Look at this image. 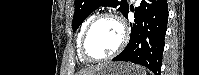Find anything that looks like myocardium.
<instances>
[{
	"label": "myocardium",
	"mask_w": 199,
	"mask_h": 75,
	"mask_svg": "<svg viewBox=\"0 0 199 75\" xmlns=\"http://www.w3.org/2000/svg\"><path fill=\"white\" fill-rule=\"evenodd\" d=\"M104 19H110L117 23V25L119 26V28L121 30V40H120L117 48L114 51H112L111 53H109L103 57H99V58L92 57L86 51V41H87L88 35H89L91 29L93 28V26L100 20H104ZM128 37H129V34H128L127 26L121 17H119L118 15L112 14V13L98 14L97 16H94L90 20V22L88 23V25L86 26V28L84 29V31L81 35L80 42H79V54L84 61L91 62V63L101 62V61L111 59V58L115 57L116 55H118L123 50V48L125 47V45L128 41Z\"/></svg>",
	"instance_id": "obj_1"
}]
</instances>
